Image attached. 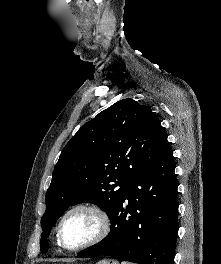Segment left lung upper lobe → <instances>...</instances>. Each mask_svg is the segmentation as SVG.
Returning a JSON list of instances; mask_svg holds the SVG:
<instances>
[{
    "mask_svg": "<svg viewBox=\"0 0 221 264\" xmlns=\"http://www.w3.org/2000/svg\"><path fill=\"white\" fill-rule=\"evenodd\" d=\"M166 141L154 113L131 98L85 123L55 166L41 219V252H47L52 226L71 205L91 202L110 216L129 183L152 164Z\"/></svg>",
    "mask_w": 221,
    "mask_h": 264,
    "instance_id": "obj_1",
    "label": "left lung upper lobe"
}]
</instances>
